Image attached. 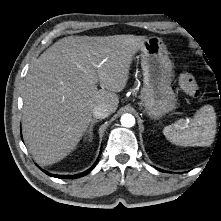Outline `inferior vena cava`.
I'll use <instances>...</instances> for the list:
<instances>
[{
    "label": "inferior vena cava",
    "mask_w": 221,
    "mask_h": 221,
    "mask_svg": "<svg viewBox=\"0 0 221 221\" xmlns=\"http://www.w3.org/2000/svg\"><path fill=\"white\" fill-rule=\"evenodd\" d=\"M109 114H110V111L105 104H99L95 106L93 109V116L94 118H97V119H104L108 117Z\"/></svg>",
    "instance_id": "1"
}]
</instances>
